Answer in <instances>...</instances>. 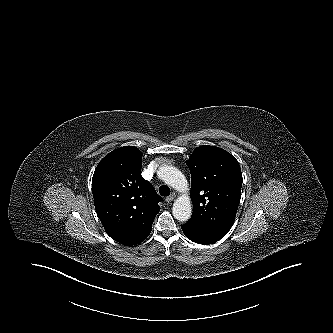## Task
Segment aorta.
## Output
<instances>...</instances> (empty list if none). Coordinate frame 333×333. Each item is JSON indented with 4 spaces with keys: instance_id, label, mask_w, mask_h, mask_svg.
<instances>
[{
    "instance_id": "762f6f07",
    "label": "aorta",
    "mask_w": 333,
    "mask_h": 333,
    "mask_svg": "<svg viewBox=\"0 0 333 333\" xmlns=\"http://www.w3.org/2000/svg\"><path fill=\"white\" fill-rule=\"evenodd\" d=\"M159 177L178 191H186L188 183L185 176L177 168L172 166H162L158 170ZM192 206L188 196L177 198L173 204L172 214L175 219L181 222L187 221L191 217Z\"/></svg>"
}]
</instances>
